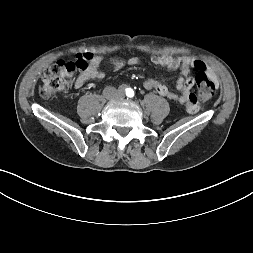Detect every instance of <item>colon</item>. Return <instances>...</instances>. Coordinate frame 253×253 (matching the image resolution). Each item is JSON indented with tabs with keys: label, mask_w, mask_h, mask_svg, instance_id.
I'll return each mask as SVG.
<instances>
[{
	"label": "colon",
	"mask_w": 253,
	"mask_h": 253,
	"mask_svg": "<svg viewBox=\"0 0 253 253\" xmlns=\"http://www.w3.org/2000/svg\"><path fill=\"white\" fill-rule=\"evenodd\" d=\"M91 58L92 55L90 53H85L79 55L73 61L61 60L50 66L42 77V83L39 88L40 96L49 99L66 89L75 74L83 73L87 70ZM193 67L196 70V76L193 81L198 87V98L201 101L206 100L213 91L214 83L207 76L204 63L195 61Z\"/></svg>",
	"instance_id": "obj_1"
}]
</instances>
